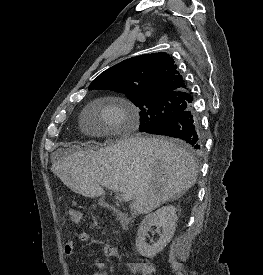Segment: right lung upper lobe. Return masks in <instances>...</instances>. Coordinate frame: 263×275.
Segmentation results:
<instances>
[{"label":"right lung upper lobe","mask_w":263,"mask_h":275,"mask_svg":"<svg viewBox=\"0 0 263 275\" xmlns=\"http://www.w3.org/2000/svg\"><path fill=\"white\" fill-rule=\"evenodd\" d=\"M121 89L133 95H187V87L172 57L165 52L126 59L103 73L89 86Z\"/></svg>","instance_id":"right-lung-upper-lobe-1"}]
</instances>
